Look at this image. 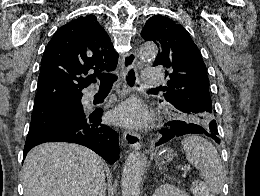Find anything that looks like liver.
Segmentation results:
<instances>
[{
	"label": "liver",
	"instance_id": "obj_1",
	"mask_svg": "<svg viewBox=\"0 0 260 196\" xmlns=\"http://www.w3.org/2000/svg\"><path fill=\"white\" fill-rule=\"evenodd\" d=\"M22 184L24 196H103L104 162L78 144H40L24 160Z\"/></svg>",
	"mask_w": 260,
	"mask_h": 196
}]
</instances>
